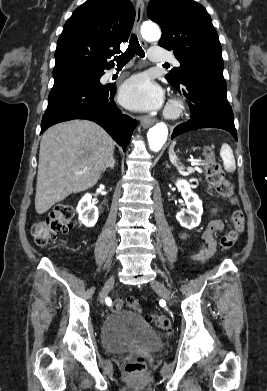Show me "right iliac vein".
Returning <instances> with one entry per match:
<instances>
[{
  "label": "right iliac vein",
  "mask_w": 267,
  "mask_h": 391,
  "mask_svg": "<svg viewBox=\"0 0 267 391\" xmlns=\"http://www.w3.org/2000/svg\"><path fill=\"white\" fill-rule=\"evenodd\" d=\"M114 282H115V275H111L107 281L105 282V285L104 287L102 288V291L100 293V303H103L105 298L107 297L109 291L111 290V288L113 287L114 285Z\"/></svg>",
  "instance_id": "63e3f726"
}]
</instances>
